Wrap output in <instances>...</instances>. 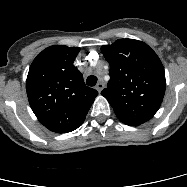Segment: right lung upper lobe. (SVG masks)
Listing matches in <instances>:
<instances>
[{
	"instance_id": "obj_1",
	"label": "right lung upper lobe",
	"mask_w": 187,
	"mask_h": 187,
	"mask_svg": "<svg viewBox=\"0 0 187 187\" xmlns=\"http://www.w3.org/2000/svg\"><path fill=\"white\" fill-rule=\"evenodd\" d=\"M80 48L50 46L32 62L26 80L30 106L50 131L67 133L84 122L98 92L83 82L73 62Z\"/></svg>"
}]
</instances>
